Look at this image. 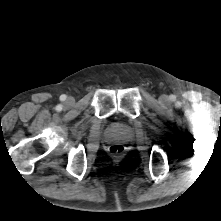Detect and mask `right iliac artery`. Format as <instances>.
<instances>
[{"mask_svg":"<svg viewBox=\"0 0 221 221\" xmlns=\"http://www.w3.org/2000/svg\"><path fill=\"white\" fill-rule=\"evenodd\" d=\"M58 110H61V106H58Z\"/></svg>","mask_w":221,"mask_h":221,"instance_id":"82829eb1","label":"right iliac artery"}]
</instances>
